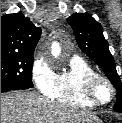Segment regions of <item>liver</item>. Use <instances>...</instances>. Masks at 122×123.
<instances>
[{
  "label": "liver",
  "mask_w": 122,
  "mask_h": 123,
  "mask_svg": "<svg viewBox=\"0 0 122 123\" xmlns=\"http://www.w3.org/2000/svg\"><path fill=\"white\" fill-rule=\"evenodd\" d=\"M92 112L53 102L30 91L1 95V123H101Z\"/></svg>",
  "instance_id": "obj_1"
}]
</instances>
